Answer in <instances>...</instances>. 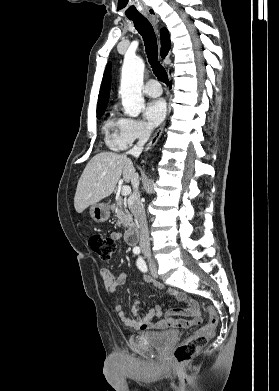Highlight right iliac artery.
<instances>
[{"label":"right iliac artery","instance_id":"82829eb1","mask_svg":"<svg viewBox=\"0 0 279 391\" xmlns=\"http://www.w3.org/2000/svg\"><path fill=\"white\" fill-rule=\"evenodd\" d=\"M133 252H134V254L138 255L140 253V248L139 247H135L133 249Z\"/></svg>","mask_w":279,"mask_h":391}]
</instances>
